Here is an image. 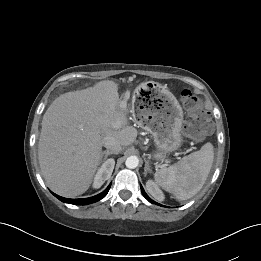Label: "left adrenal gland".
Segmentation results:
<instances>
[{"mask_svg":"<svg viewBox=\"0 0 261 261\" xmlns=\"http://www.w3.org/2000/svg\"><path fill=\"white\" fill-rule=\"evenodd\" d=\"M148 172L151 173L152 170L150 168L149 162L145 161L144 174L146 175Z\"/></svg>","mask_w":261,"mask_h":261,"instance_id":"obj_1","label":"left adrenal gland"}]
</instances>
